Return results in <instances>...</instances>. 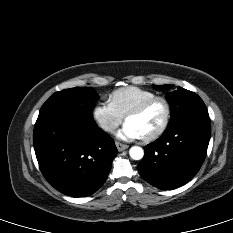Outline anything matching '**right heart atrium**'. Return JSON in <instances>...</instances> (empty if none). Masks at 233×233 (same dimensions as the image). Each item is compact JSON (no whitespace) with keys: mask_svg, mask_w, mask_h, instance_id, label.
I'll use <instances>...</instances> for the list:
<instances>
[{"mask_svg":"<svg viewBox=\"0 0 233 233\" xmlns=\"http://www.w3.org/2000/svg\"><path fill=\"white\" fill-rule=\"evenodd\" d=\"M92 115L98 126L107 133L115 132L123 122V117L110 102L96 104L93 108Z\"/></svg>","mask_w":233,"mask_h":233,"instance_id":"right-heart-atrium-1","label":"right heart atrium"}]
</instances>
